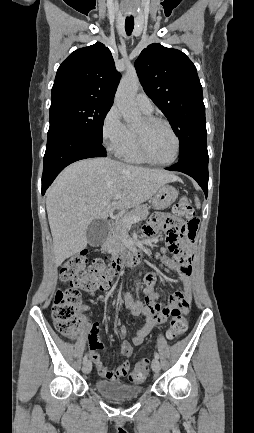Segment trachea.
Returning a JSON list of instances; mask_svg holds the SVG:
<instances>
[{
  "mask_svg": "<svg viewBox=\"0 0 254 433\" xmlns=\"http://www.w3.org/2000/svg\"><path fill=\"white\" fill-rule=\"evenodd\" d=\"M134 28V19L133 18H126L125 20V30L128 36L131 35Z\"/></svg>",
  "mask_w": 254,
  "mask_h": 433,
  "instance_id": "obj_1",
  "label": "trachea"
}]
</instances>
